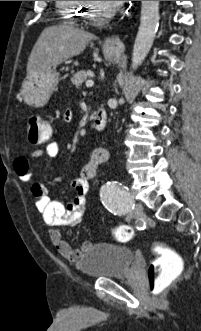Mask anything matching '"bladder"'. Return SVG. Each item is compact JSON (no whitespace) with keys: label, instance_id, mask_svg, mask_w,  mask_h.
I'll list each match as a JSON object with an SVG mask.
<instances>
[{"label":"bladder","instance_id":"bladder-1","mask_svg":"<svg viewBox=\"0 0 201 331\" xmlns=\"http://www.w3.org/2000/svg\"><path fill=\"white\" fill-rule=\"evenodd\" d=\"M135 259V252L114 243H97L76 262L79 272L91 279H114L126 275Z\"/></svg>","mask_w":201,"mask_h":331}]
</instances>
